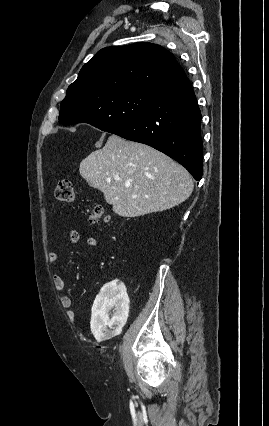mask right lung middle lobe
Instances as JSON below:
<instances>
[{
    "label": "right lung middle lobe",
    "instance_id": "right-lung-middle-lobe-1",
    "mask_svg": "<svg viewBox=\"0 0 269 426\" xmlns=\"http://www.w3.org/2000/svg\"><path fill=\"white\" fill-rule=\"evenodd\" d=\"M156 93L131 89L89 99L76 93L66 95L61 103L59 122L63 125L88 123L112 132L140 117L152 104Z\"/></svg>",
    "mask_w": 269,
    "mask_h": 426
}]
</instances>
